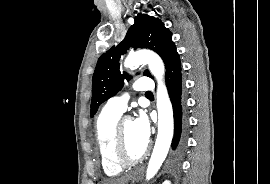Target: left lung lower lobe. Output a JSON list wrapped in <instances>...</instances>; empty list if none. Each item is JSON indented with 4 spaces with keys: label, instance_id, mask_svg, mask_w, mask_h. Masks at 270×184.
I'll return each instance as SVG.
<instances>
[{
    "label": "left lung lower lobe",
    "instance_id": "1",
    "mask_svg": "<svg viewBox=\"0 0 270 184\" xmlns=\"http://www.w3.org/2000/svg\"><path fill=\"white\" fill-rule=\"evenodd\" d=\"M165 81L174 114V137L172 140V148L175 155L179 157L182 155L186 146L188 118L182 86L181 63L178 53L174 54L166 67Z\"/></svg>",
    "mask_w": 270,
    "mask_h": 184
}]
</instances>
